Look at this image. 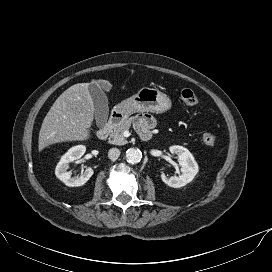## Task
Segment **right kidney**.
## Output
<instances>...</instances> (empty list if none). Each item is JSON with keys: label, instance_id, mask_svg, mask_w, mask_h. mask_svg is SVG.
<instances>
[{"label": "right kidney", "instance_id": "ca27d5eb", "mask_svg": "<svg viewBox=\"0 0 272 272\" xmlns=\"http://www.w3.org/2000/svg\"><path fill=\"white\" fill-rule=\"evenodd\" d=\"M86 151V147L83 145L74 146L68 150L62 157L55 169L56 177L61 180L66 186L78 187L84 185L90 177L93 175L94 171L91 167H85L82 171L80 177H71L70 173L67 172L69 168V163L80 159Z\"/></svg>", "mask_w": 272, "mask_h": 272}]
</instances>
